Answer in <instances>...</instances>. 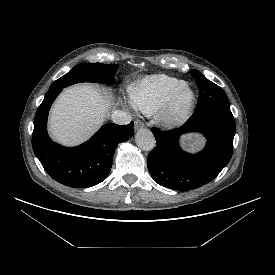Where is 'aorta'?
Returning <instances> with one entry per match:
<instances>
[{
  "label": "aorta",
  "mask_w": 275,
  "mask_h": 275,
  "mask_svg": "<svg viewBox=\"0 0 275 275\" xmlns=\"http://www.w3.org/2000/svg\"><path fill=\"white\" fill-rule=\"evenodd\" d=\"M135 142L144 151H151L156 144L153 133L148 129H140L135 136Z\"/></svg>",
  "instance_id": "obj_1"
}]
</instances>
